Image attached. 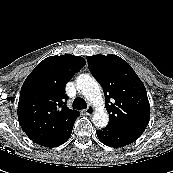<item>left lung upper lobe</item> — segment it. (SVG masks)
I'll list each match as a JSON object with an SVG mask.
<instances>
[{
  "label": "left lung upper lobe",
  "instance_id": "1",
  "mask_svg": "<svg viewBox=\"0 0 173 173\" xmlns=\"http://www.w3.org/2000/svg\"><path fill=\"white\" fill-rule=\"evenodd\" d=\"M87 61L93 76L103 87L109 112L107 127L139 137L150 118L142 81L132 67L116 55L87 56Z\"/></svg>",
  "mask_w": 173,
  "mask_h": 173
}]
</instances>
